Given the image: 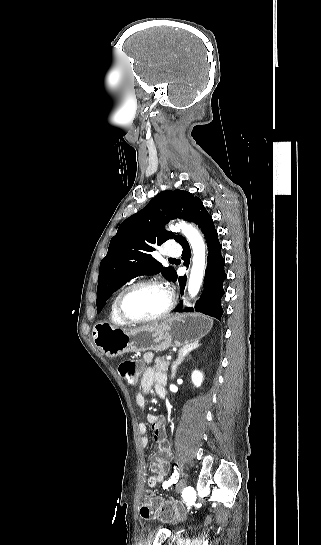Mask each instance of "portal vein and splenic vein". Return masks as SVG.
Masks as SVG:
<instances>
[{
	"label": "portal vein and splenic vein",
	"mask_w": 321,
	"mask_h": 545,
	"mask_svg": "<svg viewBox=\"0 0 321 545\" xmlns=\"http://www.w3.org/2000/svg\"><path fill=\"white\" fill-rule=\"evenodd\" d=\"M168 360H172L171 355H167Z\"/></svg>",
	"instance_id": "obj_1"
}]
</instances>
